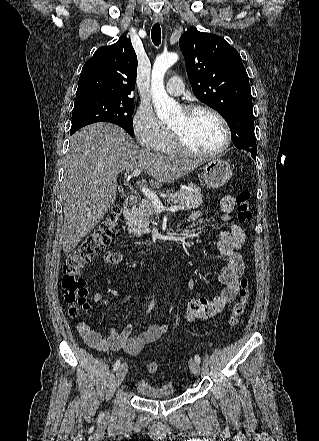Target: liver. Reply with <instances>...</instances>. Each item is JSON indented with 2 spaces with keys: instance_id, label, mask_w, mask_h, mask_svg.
<instances>
[{
  "instance_id": "1",
  "label": "liver",
  "mask_w": 319,
  "mask_h": 441,
  "mask_svg": "<svg viewBox=\"0 0 319 441\" xmlns=\"http://www.w3.org/2000/svg\"><path fill=\"white\" fill-rule=\"evenodd\" d=\"M201 162L140 149L119 126L99 122L70 137L61 185L63 202L62 247L67 254L88 235L116 200L117 176L144 169L156 181L152 187L173 182Z\"/></svg>"
}]
</instances>
